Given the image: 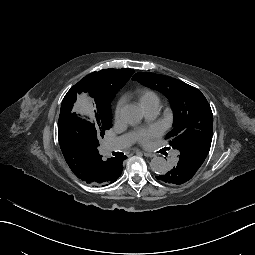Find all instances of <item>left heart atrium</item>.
<instances>
[{
	"label": "left heart atrium",
	"instance_id": "1",
	"mask_svg": "<svg viewBox=\"0 0 255 255\" xmlns=\"http://www.w3.org/2000/svg\"><path fill=\"white\" fill-rule=\"evenodd\" d=\"M156 135H158L157 131H145L143 132L142 138L139 139L138 141L142 143L143 145H148L150 138Z\"/></svg>",
	"mask_w": 255,
	"mask_h": 255
}]
</instances>
